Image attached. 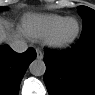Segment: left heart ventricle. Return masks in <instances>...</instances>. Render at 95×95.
I'll use <instances>...</instances> for the list:
<instances>
[{"label": "left heart ventricle", "mask_w": 95, "mask_h": 95, "mask_svg": "<svg viewBox=\"0 0 95 95\" xmlns=\"http://www.w3.org/2000/svg\"><path fill=\"white\" fill-rule=\"evenodd\" d=\"M77 29V22L75 20H70L65 24L63 30L61 31L60 37L62 39H70L76 34Z\"/></svg>", "instance_id": "left-heart-ventricle-1"}]
</instances>
